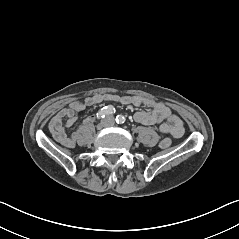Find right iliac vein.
<instances>
[{
  "label": "right iliac vein",
  "mask_w": 239,
  "mask_h": 239,
  "mask_svg": "<svg viewBox=\"0 0 239 239\" xmlns=\"http://www.w3.org/2000/svg\"><path fill=\"white\" fill-rule=\"evenodd\" d=\"M103 126V124H100L98 127L101 128Z\"/></svg>",
  "instance_id": "1"
}]
</instances>
